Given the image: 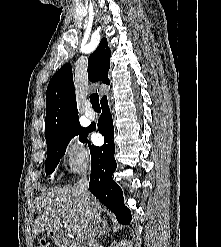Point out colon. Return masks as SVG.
<instances>
[{"label": "colon", "instance_id": "colon-1", "mask_svg": "<svg viewBox=\"0 0 221 247\" xmlns=\"http://www.w3.org/2000/svg\"><path fill=\"white\" fill-rule=\"evenodd\" d=\"M42 246L46 247V246H47V244H46V243H43V244H42Z\"/></svg>", "mask_w": 221, "mask_h": 247}]
</instances>
